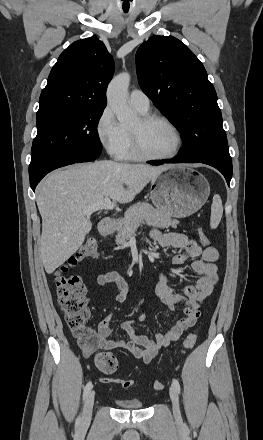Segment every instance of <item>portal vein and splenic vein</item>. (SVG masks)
<instances>
[{
    "label": "portal vein and splenic vein",
    "mask_w": 263,
    "mask_h": 440,
    "mask_svg": "<svg viewBox=\"0 0 263 440\" xmlns=\"http://www.w3.org/2000/svg\"><path fill=\"white\" fill-rule=\"evenodd\" d=\"M115 207V203H113L109 198H105L102 201L93 203L91 205L83 207L85 213L91 214L95 211L104 209V210H112Z\"/></svg>",
    "instance_id": "portal-vein-and-splenic-vein-1"
}]
</instances>
